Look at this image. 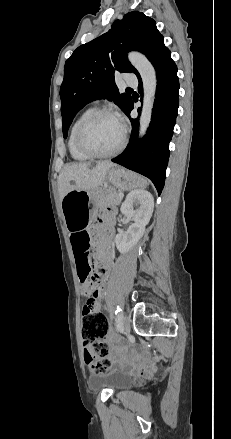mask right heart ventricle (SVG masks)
<instances>
[{"label": "right heart ventricle", "mask_w": 231, "mask_h": 439, "mask_svg": "<svg viewBox=\"0 0 231 439\" xmlns=\"http://www.w3.org/2000/svg\"><path fill=\"white\" fill-rule=\"evenodd\" d=\"M93 111H95L94 107H88L86 109H84L78 116L77 118L74 120L71 128H70V132H69V136H68V141H67V146H68V150L69 153L71 155V157L74 160L77 161H86L89 159V157L87 155H85L83 152H81L77 145H76V141H75V136H76V131L77 128L79 126V124L82 122V120L84 118H86L90 113H92Z\"/></svg>", "instance_id": "obj_1"}]
</instances>
